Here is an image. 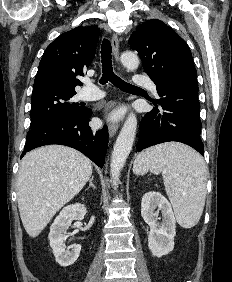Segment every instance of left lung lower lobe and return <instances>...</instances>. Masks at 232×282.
Wrapping results in <instances>:
<instances>
[{
    "label": "left lung lower lobe",
    "mask_w": 232,
    "mask_h": 282,
    "mask_svg": "<svg viewBox=\"0 0 232 282\" xmlns=\"http://www.w3.org/2000/svg\"><path fill=\"white\" fill-rule=\"evenodd\" d=\"M159 99L152 101L163 111L154 108L142 118L138 152L150 146L177 141L185 143L201 155L204 145L200 138V103L197 98L198 86L155 83Z\"/></svg>",
    "instance_id": "left-lung-lower-lobe-1"
}]
</instances>
